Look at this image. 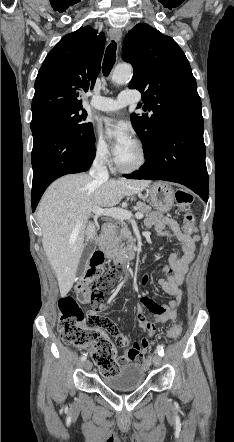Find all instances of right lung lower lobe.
Returning <instances> with one entry per match:
<instances>
[{
	"instance_id": "98d812e1",
	"label": "right lung lower lobe",
	"mask_w": 234,
	"mask_h": 442,
	"mask_svg": "<svg viewBox=\"0 0 234 442\" xmlns=\"http://www.w3.org/2000/svg\"><path fill=\"white\" fill-rule=\"evenodd\" d=\"M33 184L32 210L46 188L57 178L71 173L87 171L95 156L94 135L82 141L69 133L52 127L32 131Z\"/></svg>"
}]
</instances>
